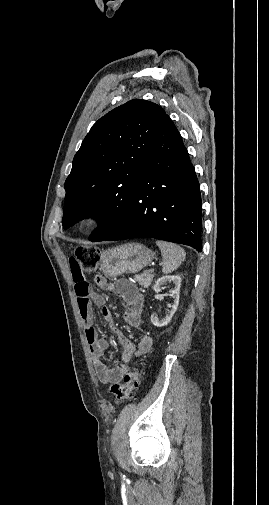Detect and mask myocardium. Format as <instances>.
<instances>
[{
    "instance_id": "1",
    "label": "myocardium",
    "mask_w": 269,
    "mask_h": 505,
    "mask_svg": "<svg viewBox=\"0 0 269 505\" xmlns=\"http://www.w3.org/2000/svg\"><path fill=\"white\" fill-rule=\"evenodd\" d=\"M102 222V214L98 211H87L78 220V227L83 231H92Z\"/></svg>"
}]
</instances>
